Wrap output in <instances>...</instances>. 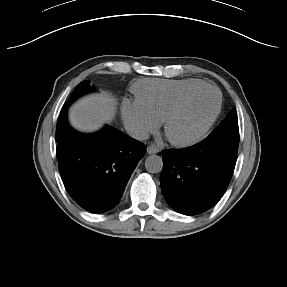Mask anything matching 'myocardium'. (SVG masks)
Segmentation results:
<instances>
[{
	"label": "myocardium",
	"mask_w": 287,
	"mask_h": 287,
	"mask_svg": "<svg viewBox=\"0 0 287 287\" xmlns=\"http://www.w3.org/2000/svg\"><path fill=\"white\" fill-rule=\"evenodd\" d=\"M212 90L216 95V105L215 108L204 124V126L193 136L185 138V139H175L172 138L169 134V129L172 124V122L178 117V115L181 113L182 109L184 108L187 101L191 98L192 95L197 93L201 90ZM222 108V97L220 91L213 85L210 84H201L199 86H196L187 92H185L172 106L170 111L167 113L166 117L164 118V133L168 140L177 147H189L192 146L198 142H200L210 131L211 127L215 123L216 119L218 118L220 111Z\"/></svg>",
	"instance_id": "1"
}]
</instances>
